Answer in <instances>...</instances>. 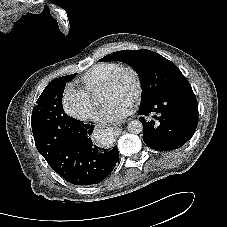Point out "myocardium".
<instances>
[{"instance_id":"obj_1","label":"myocardium","mask_w":227,"mask_h":227,"mask_svg":"<svg viewBox=\"0 0 227 227\" xmlns=\"http://www.w3.org/2000/svg\"><path fill=\"white\" fill-rule=\"evenodd\" d=\"M125 73L131 74L134 80V93L132 97V103L135 104L139 101L142 91H143V82L140 72L131 65H122L120 66L103 84L101 89H108L117 84L121 76Z\"/></svg>"}]
</instances>
